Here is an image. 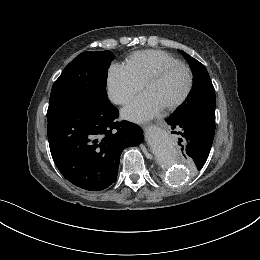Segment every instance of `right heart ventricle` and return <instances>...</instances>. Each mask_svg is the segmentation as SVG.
<instances>
[{"label": "right heart ventricle", "instance_id": "e07e8e85", "mask_svg": "<svg viewBox=\"0 0 260 260\" xmlns=\"http://www.w3.org/2000/svg\"><path fill=\"white\" fill-rule=\"evenodd\" d=\"M180 60L162 50H142L131 54L125 66L131 75L141 84L163 66L178 63Z\"/></svg>", "mask_w": 260, "mask_h": 260}]
</instances>
